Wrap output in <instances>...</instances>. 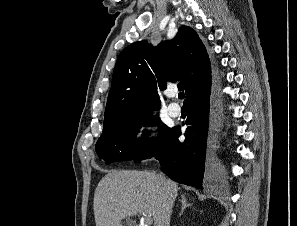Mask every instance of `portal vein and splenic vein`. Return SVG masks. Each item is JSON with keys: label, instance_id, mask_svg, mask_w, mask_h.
<instances>
[{"label": "portal vein and splenic vein", "instance_id": "obj_1", "mask_svg": "<svg viewBox=\"0 0 297 226\" xmlns=\"http://www.w3.org/2000/svg\"><path fill=\"white\" fill-rule=\"evenodd\" d=\"M143 217H144V220H145V223H146V224H150V223H152L151 215H148V214H144V213H143Z\"/></svg>", "mask_w": 297, "mask_h": 226}]
</instances>
